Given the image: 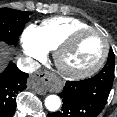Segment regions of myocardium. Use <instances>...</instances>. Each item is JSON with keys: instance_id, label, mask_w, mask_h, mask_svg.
<instances>
[{"instance_id": "f54148a6", "label": "myocardium", "mask_w": 117, "mask_h": 117, "mask_svg": "<svg viewBox=\"0 0 117 117\" xmlns=\"http://www.w3.org/2000/svg\"><path fill=\"white\" fill-rule=\"evenodd\" d=\"M89 33L97 34L102 37L104 49L101 57L94 65H92L89 68L83 70H74L68 68L64 64L65 55L81 36ZM109 50H110L109 40L101 30L96 29L94 27L83 28L73 31L59 44L54 53V61L59 72L65 77L71 79H83L94 75L102 68V66L105 64L108 58Z\"/></svg>"}]
</instances>
